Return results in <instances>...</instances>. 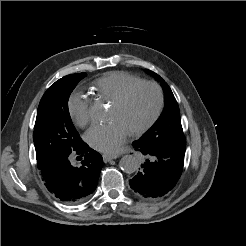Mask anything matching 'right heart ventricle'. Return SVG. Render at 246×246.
I'll return each instance as SVG.
<instances>
[{"label":"right heart ventricle","instance_id":"right-heart-ventricle-1","mask_svg":"<svg viewBox=\"0 0 246 246\" xmlns=\"http://www.w3.org/2000/svg\"><path fill=\"white\" fill-rule=\"evenodd\" d=\"M141 80L130 73L112 72L97 79L93 89L98 97L113 102L127 87Z\"/></svg>","mask_w":246,"mask_h":246}]
</instances>
